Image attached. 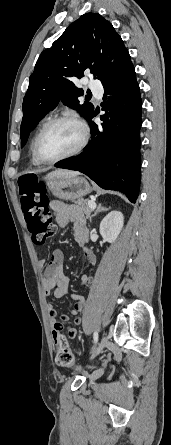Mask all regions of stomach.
I'll return each instance as SVG.
<instances>
[{
  "label": "stomach",
  "mask_w": 171,
  "mask_h": 445,
  "mask_svg": "<svg viewBox=\"0 0 171 445\" xmlns=\"http://www.w3.org/2000/svg\"><path fill=\"white\" fill-rule=\"evenodd\" d=\"M46 184L51 193L61 200L80 199L93 191L89 182L80 176H46Z\"/></svg>",
  "instance_id": "stomach-1"
}]
</instances>
